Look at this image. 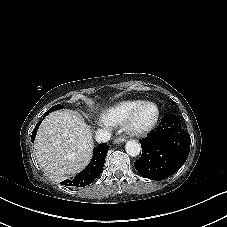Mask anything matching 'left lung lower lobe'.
<instances>
[{
	"label": "left lung lower lobe",
	"mask_w": 227,
	"mask_h": 227,
	"mask_svg": "<svg viewBox=\"0 0 227 227\" xmlns=\"http://www.w3.org/2000/svg\"><path fill=\"white\" fill-rule=\"evenodd\" d=\"M190 143V135L180 126V119L166 114L158 128L141 141L142 156L134 166L142 177L164 180L185 163Z\"/></svg>",
	"instance_id": "left-lung-lower-lobe-1"
}]
</instances>
